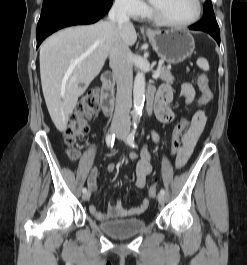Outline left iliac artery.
Listing matches in <instances>:
<instances>
[{
  "label": "left iliac artery",
  "mask_w": 247,
  "mask_h": 265,
  "mask_svg": "<svg viewBox=\"0 0 247 265\" xmlns=\"http://www.w3.org/2000/svg\"><path fill=\"white\" fill-rule=\"evenodd\" d=\"M136 129H137V126L134 125V128H133L132 132L129 134V136L127 138V143L132 148H135L136 147V144H135V141H134V137H135V134H136ZM160 193L161 194H165V190L164 189H161L160 190Z\"/></svg>",
  "instance_id": "obj_1"
}]
</instances>
